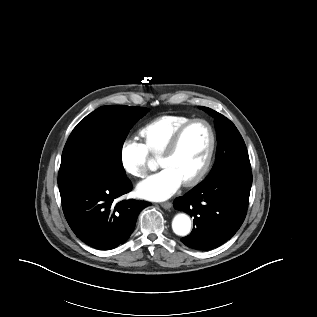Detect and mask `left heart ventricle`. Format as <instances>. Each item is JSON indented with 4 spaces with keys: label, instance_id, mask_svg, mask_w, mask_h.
Instances as JSON below:
<instances>
[{
    "label": "left heart ventricle",
    "instance_id": "left-heart-ventricle-1",
    "mask_svg": "<svg viewBox=\"0 0 317 317\" xmlns=\"http://www.w3.org/2000/svg\"><path fill=\"white\" fill-rule=\"evenodd\" d=\"M210 143V136L204 124L191 126L180 142L176 152L169 157L161 158V167L171 168L182 181L193 176L201 167Z\"/></svg>",
    "mask_w": 317,
    "mask_h": 317
}]
</instances>
